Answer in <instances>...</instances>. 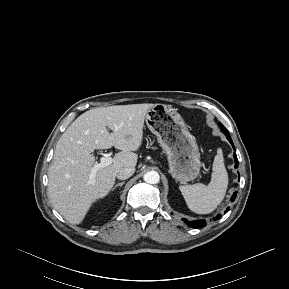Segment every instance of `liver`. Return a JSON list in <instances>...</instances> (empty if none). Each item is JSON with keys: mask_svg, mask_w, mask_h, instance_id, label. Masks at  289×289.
I'll return each instance as SVG.
<instances>
[{"mask_svg": "<svg viewBox=\"0 0 289 289\" xmlns=\"http://www.w3.org/2000/svg\"><path fill=\"white\" fill-rule=\"evenodd\" d=\"M152 106L95 108L80 115L62 134L48 169V196L68 222L80 224L92 204L109 193L118 170L136 166L138 156L134 152L142 144L144 120ZM113 146L121 152L90 182L91 170L97 164L91 152Z\"/></svg>", "mask_w": 289, "mask_h": 289, "instance_id": "1", "label": "liver"}]
</instances>
